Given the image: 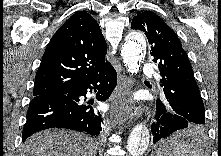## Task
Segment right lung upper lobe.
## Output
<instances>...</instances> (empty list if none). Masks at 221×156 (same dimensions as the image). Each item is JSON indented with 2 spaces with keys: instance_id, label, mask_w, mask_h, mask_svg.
I'll return each instance as SVG.
<instances>
[{
  "instance_id": "obj_1",
  "label": "right lung upper lobe",
  "mask_w": 221,
  "mask_h": 156,
  "mask_svg": "<svg viewBox=\"0 0 221 156\" xmlns=\"http://www.w3.org/2000/svg\"><path fill=\"white\" fill-rule=\"evenodd\" d=\"M98 23L86 12L71 16L53 35L35 77L33 96L64 94L110 63Z\"/></svg>"
}]
</instances>
